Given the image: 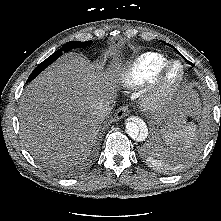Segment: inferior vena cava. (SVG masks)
Here are the masks:
<instances>
[{"mask_svg":"<svg viewBox=\"0 0 221 221\" xmlns=\"http://www.w3.org/2000/svg\"><path fill=\"white\" fill-rule=\"evenodd\" d=\"M112 103H113V99H107V100L102 101L99 104V112L102 114L103 119H104V116L107 114V112L111 110Z\"/></svg>","mask_w":221,"mask_h":221,"instance_id":"inferior-vena-cava-1","label":"inferior vena cava"}]
</instances>
